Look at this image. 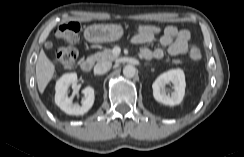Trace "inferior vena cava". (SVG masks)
I'll return each instance as SVG.
<instances>
[{"label":"inferior vena cava","mask_w":244,"mask_h":157,"mask_svg":"<svg viewBox=\"0 0 244 157\" xmlns=\"http://www.w3.org/2000/svg\"><path fill=\"white\" fill-rule=\"evenodd\" d=\"M112 66L110 61H101L98 62L94 67V72L96 74H104L106 73Z\"/></svg>","instance_id":"inferior-vena-cava-1"}]
</instances>
